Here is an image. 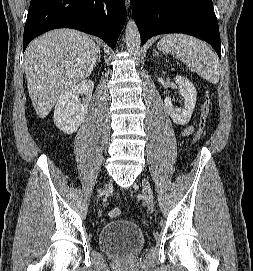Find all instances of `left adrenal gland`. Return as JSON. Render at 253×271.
Here are the masks:
<instances>
[{
  "label": "left adrenal gland",
  "mask_w": 253,
  "mask_h": 271,
  "mask_svg": "<svg viewBox=\"0 0 253 271\" xmlns=\"http://www.w3.org/2000/svg\"><path fill=\"white\" fill-rule=\"evenodd\" d=\"M153 56H159V53L157 52L156 49H154V55Z\"/></svg>",
  "instance_id": "obj_1"
}]
</instances>
